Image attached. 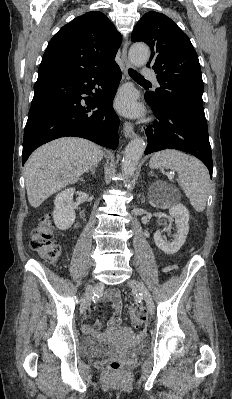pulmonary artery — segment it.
I'll use <instances>...</instances> for the list:
<instances>
[{
	"label": "pulmonary artery",
	"instance_id": "pulmonary-artery-1",
	"mask_svg": "<svg viewBox=\"0 0 232 399\" xmlns=\"http://www.w3.org/2000/svg\"><path fill=\"white\" fill-rule=\"evenodd\" d=\"M144 78H145V80H153L155 83H157V80L155 79V75H154V70L153 69H146Z\"/></svg>",
	"mask_w": 232,
	"mask_h": 399
}]
</instances>
